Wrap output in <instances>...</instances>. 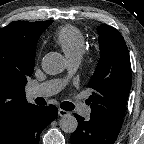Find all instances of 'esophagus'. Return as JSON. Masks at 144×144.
<instances>
[{
    "instance_id": "esophagus-1",
    "label": "esophagus",
    "mask_w": 144,
    "mask_h": 144,
    "mask_svg": "<svg viewBox=\"0 0 144 144\" xmlns=\"http://www.w3.org/2000/svg\"><path fill=\"white\" fill-rule=\"evenodd\" d=\"M68 114H69V112L66 111V110H63V109H59V110H58V115H59L60 117H65V116H67Z\"/></svg>"
}]
</instances>
